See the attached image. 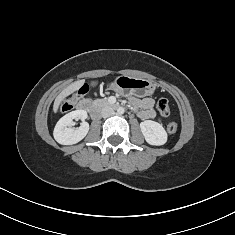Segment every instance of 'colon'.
<instances>
[{
	"instance_id": "1",
	"label": "colon",
	"mask_w": 235,
	"mask_h": 235,
	"mask_svg": "<svg viewBox=\"0 0 235 235\" xmlns=\"http://www.w3.org/2000/svg\"><path fill=\"white\" fill-rule=\"evenodd\" d=\"M88 91H89L88 86L83 85L73 97H71L63 102L62 107H61L62 111L68 112V111L72 110L75 103L79 99L83 98L88 93ZM156 108L161 116L168 117L170 115V106H169V102L166 98L158 99L157 104H156ZM177 128H178L177 124L174 122H171L167 126V132L169 134H175L177 131Z\"/></svg>"
}]
</instances>
